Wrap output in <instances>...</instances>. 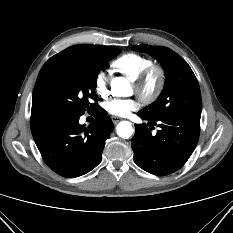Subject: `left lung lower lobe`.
Returning <instances> with one entry per match:
<instances>
[{
    "label": "left lung lower lobe",
    "instance_id": "0a47b994",
    "mask_svg": "<svg viewBox=\"0 0 233 233\" xmlns=\"http://www.w3.org/2000/svg\"><path fill=\"white\" fill-rule=\"evenodd\" d=\"M138 115L149 120V127L159 122L156 135L146 124H136L132 138L134 161L143 170L158 176L169 175L179 170L193 153L200 133V115L175 114L152 120L140 112ZM152 130V129H151Z\"/></svg>",
    "mask_w": 233,
    "mask_h": 233
}]
</instances>
